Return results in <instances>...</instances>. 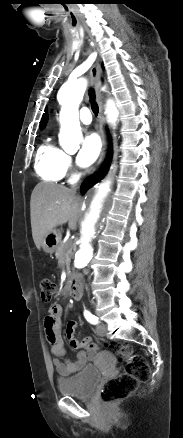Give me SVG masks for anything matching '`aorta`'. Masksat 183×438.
<instances>
[{"mask_svg":"<svg viewBox=\"0 0 183 438\" xmlns=\"http://www.w3.org/2000/svg\"><path fill=\"white\" fill-rule=\"evenodd\" d=\"M86 90V80L69 79L59 89L57 99L61 105L60 111V133L59 141L62 147L69 151L71 148H76L80 136V122L78 108ZM108 119L110 122H115L118 116V111L113 102L108 103L107 108ZM110 182L102 184L98 192L90 197V205L84 215L81 229V245L75 254L74 266L77 269L87 266L93 258V249L89 244L90 240L96 237L101 220L106 212V198L109 192Z\"/></svg>","mask_w":183,"mask_h":438,"instance_id":"obj_1","label":"aorta"}]
</instances>
